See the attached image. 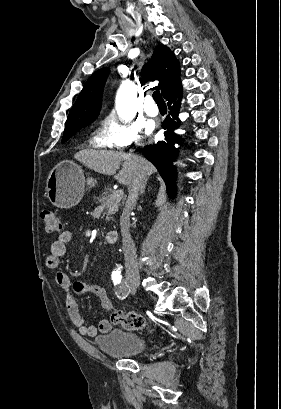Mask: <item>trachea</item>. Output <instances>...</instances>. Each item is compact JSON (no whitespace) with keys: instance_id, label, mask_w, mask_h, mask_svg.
<instances>
[{"instance_id":"trachea-1","label":"trachea","mask_w":281,"mask_h":409,"mask_svg":"<svg viewBox=\"0 0 281 409\" xmlns=\"http://www.w3.org/2000/svg\"><path fill=\"white\" fill-rule=\"evenodd\" d=\"M153 99L155 100L156 103H162L164 102L163 97L160 93L159 90H156L153 95H152Z\"/></svg>"}]
</instances>
